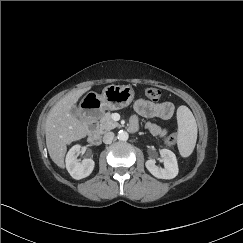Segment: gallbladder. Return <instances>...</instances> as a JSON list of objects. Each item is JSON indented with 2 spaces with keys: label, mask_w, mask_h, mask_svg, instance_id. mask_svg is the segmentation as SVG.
<instances>
[{
  "label": "gallbladder",
  "mask_w": 243,
  "mask_h": 243,
  "mask_svg": "<svg viewBox=\"0 0 243 243\" xmlns=\"http://www.w3.org/2000/svg\"><path fill=\"white\" fill-rule=\"evenodd\" d=\"M70 113H71L72 115L78 117V116H79V109H78L76 106H73V107L71 108Z\"/></svg>",
  "instance_id": "1"
}]
</instances>
